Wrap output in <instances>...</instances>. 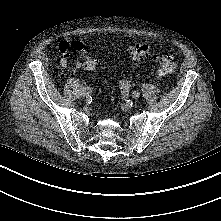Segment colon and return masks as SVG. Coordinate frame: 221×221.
<instances>
[{"instance_id": "obj_1", "label": "colon", "mask_w": 221, "mask_h": 221, "mask_svg": "<svg viewBox=\"0 0 221 221\" xmlns=\"http://www.w3.org/2000/svg\"><path fill=\"white\" fill-rule=\"evenodd\" d=\"M130 53L135 60L140 58L153 57L154 64L157 68V76L160 78L167 77L171 75L177 66L176 60L163 53H151L149 45L145 43H136L130 48ZM96 68V61L91 57H86L82 61V69L86 72H93Z\"/></svg>"}]
</instances>
